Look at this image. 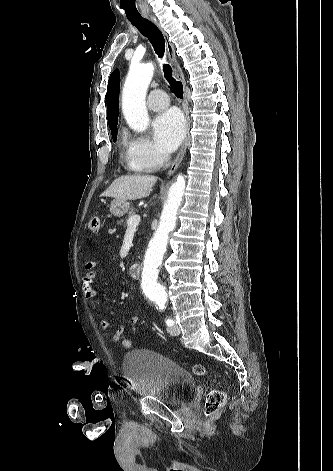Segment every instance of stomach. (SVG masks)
Here are the masks:
<instances>
[{"label":"stomach","instance_id":"obj_1","mask_svg":"<svg viewBox=\"0 0 333 471\" xmlns=\"http://www.w3.org/2000/svg\"><path fill=\"white\" fill-rule=\"evenodd\" d=\"M130 208L127 200L114 199L110 204V212L115 217L123 216Z\"/></svg>","mask_w":333,"mask_h":471}]
</instances>
